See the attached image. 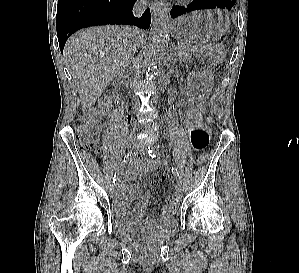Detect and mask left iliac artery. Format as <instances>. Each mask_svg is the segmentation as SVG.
<instances>
[{
  "label": "left iliac artery",
  "mask_w": 299,
  "mask_h": 273,
  "mask_svg": "<svg viewBox=\"0 0 299 273\" xmlns=\"http://www.w3.org/2000/svg\"><path fill=\"white\" fill-rule=\"evenodd\" d=\"M147 152H148L149 156H151L152 158L160 155L159 152H157L156 150H150V148H148ZM171 171L176 177L179 178V173L177 171V168L172 167Z\"/></svg>",
  "instance_id": "1"
}]
</instances>
